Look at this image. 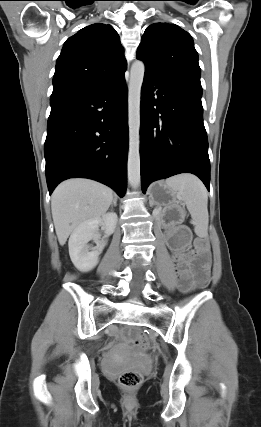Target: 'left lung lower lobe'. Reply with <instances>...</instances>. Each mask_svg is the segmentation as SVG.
Wrapping results in <instances>:
<instances>
[{
	"label": "left lung lower lobe",
	"mask_w": 261,
	"mask_h": 427,
	"mask_svg": "<svg viewBox=\"0 0 261 427\" xmlns=\"http://www.w3.org/2000/svg\"><path fill=\"white\" fill-rule=\"evenodd\" d=\"M202 87L145 72L141 90V187L188 172L209 189L210 161L203 124Z\"/></svg>",
	"instance_id": "left-lung-lower-lobe-1"
}]
</instances>
